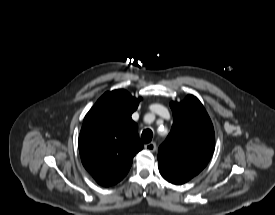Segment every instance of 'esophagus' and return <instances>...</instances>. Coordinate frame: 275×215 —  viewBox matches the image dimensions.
Instances as JSON below:
<instances>
[{
  "label": "esophagus",
  "instance_id": "1",
  "mask_svg": "<svg viewBox=\"0 0 275 215\" xmlns=\"http://www.w3.org/2000/svg\"><path fill=\"white\" fill-rule=\"evenodd\" d=\"M144 148H145L146 150L150 151V152H154V151H156L157 146H156V143H155V142H150V143L146 144V145L144 146Z\"/></svg>",
  "mask_w": 275,
  "mask_h": 215
}]
</instances>
